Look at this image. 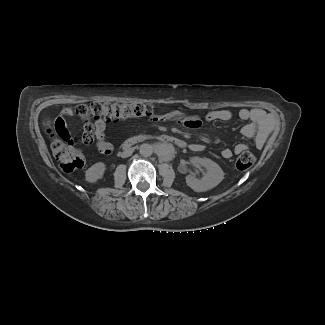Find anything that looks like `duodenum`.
<instances>
[{
  "label": "duodenum",
  "instance_id": "410a0bca",
  "mask_svg": "<svg viewBox=\"0 0 325 325\" xmlns=\"http://www.w3.org/2000/svg\"><path fill=\"white\" fill-rule=\"evenodd\" d=\"M152 139L151 136H148V135H138V136H134V137H131V138H128L126 139L122 146L123 148L125 149H128V148H131V147H134L140 143H143L147 140H150ZM156 139L162 143H168V144H172L176 147H179V148H185L186 147V142L183 141L182 139L180 138H177L175 136H172V135H167V134H162V135H159L156 137Z\"/></svg>",
  "mask_w": 325,
  "mask_h": 325
}]
</instances>
